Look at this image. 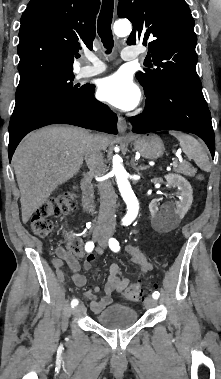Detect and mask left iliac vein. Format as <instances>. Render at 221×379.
<instances>
[{
	"label": "left iliac vein",
	"instance_id": "left-iliac-vein-1",
	"mask_svg": "<svg viewBox=\"0 0 221 379\" xmlns=\"http://www.w3.org/2000/svg\"><path fill=\"white\" fill-rule=\"evenodd\" d=\"M99 243H100V245L102 247H106L107 246V242L105 240H102ZM144 305H145L146 308H152V307H154L156 305V299H154L153 297H147L145 299Z\"/></svg>",
	"mask_w": 221,
	"mask_h": 379
}]
</instances>
